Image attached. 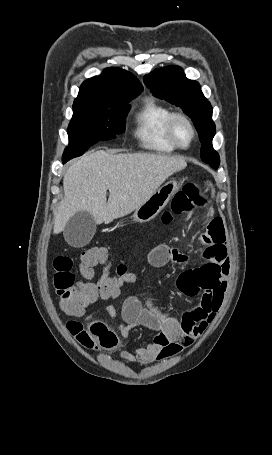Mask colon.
Returning <instances> with one entry per match:
<instances>
[{
    "label": "colon",
    "mask_w": 272,
    "mask_h": 455,
    "mask_svg": "<svg viewBox=\"0 0 272 455\" xmlns=\"http://www.w3.org/2000/svg\"><path fill=\"white\" fill-rule=\"evenodd\" d=\"M202 188L188 182L172 200L171 209L162 215V222L170 224L175 217L189 214L206 204ZM107 264L110 268V257L105 248L92 247L85 250L79 261V272L85 279L75 282L72 272L73 259L67 254H59L53 261V287L59 296V306L68 315H83L86 308L98 298L112 300L120 289L136 280L131 266L121 263L116 266L113 275L107 270L97 283L89 282L93 276V267ZM67 329L73 337L87 349L113 348L117 345L116 334L101 322L84 323L79 320L67 322Z\"/></svg>",
    "instance_id": "obj_1"
}]
</instances>
